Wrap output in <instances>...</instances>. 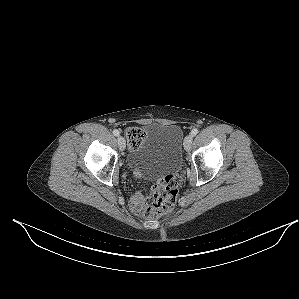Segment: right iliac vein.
I'll return each mask as SVG.
<instances>
[{
	"label": "right iliac vein",
	"mask_w": 299,
	"mask_h": 299,
	"mask_svg": "<svg viewBox=\"0 0 299 299\" xmlns=\"http://www.w3.org/2000/svg\"><path fill=\"white\" fill-rule=\"evenodd\" d=\"M117 141H118V146H119L120 150L123 151L125 149V147H126V143H125L124 137L123 136H119L118 139H117Z\"/></svg>",
	"instance_id": "obj_1"
}]
</instances>
